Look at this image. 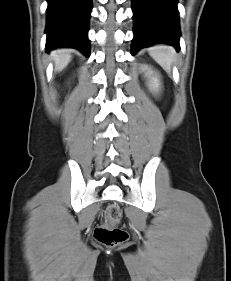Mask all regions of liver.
<instances>
[{"instance_id":"1","label":"liver","mask_w":231,"mask_h":281,"mask_svg":"<svg viewBox=\"0 0 231 281\" xmlns=\"http://www.w3.org/2000/svg\"><path fill=\"white\" fill-rule=\"evenodd\" d=\"M71 57L70 49H59L51 53V58L55 63V70L62 71L70 62Z\"/></svg>"}]
</instances>
